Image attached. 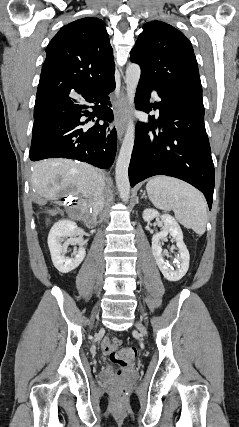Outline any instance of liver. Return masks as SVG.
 <instances>
[{
    "instance_id": "obj_1",
    "label": "liver",
    "mask_w": 239,
    "mask_h": 427,
    "mask_svg": "<svg viewBox=\"0 0 239 427\" xmlns=\"http://www.w3.org/2000/svg\"><path fill=\"white\" fill-rule=\"evenodd\" d=\"M33 168L31 183L39 204L66 194H81L85 199L80 208L82 215L88 213L90 207L94 209V215L97 214L94 198L101 173L96 168L63 159L39 161Z\"/></svg>"
}]
</instances>
